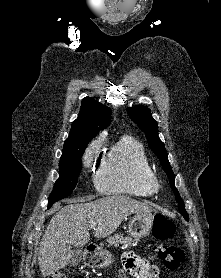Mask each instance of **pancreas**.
I'll use <instances>...</instances> for the list:
<instances>
[{
  "instance_id": "pancreas-1",
  "label": "pancreas",
  "mask_w": 221,
  "mask_h": 278,
  "mask_svg": "<svg viewBox=\"0 0 221 278\" xmlns=\"http://www.w3.org/2000/svg\"><path fill=\"white\" fill-rule=\"evenodd\" d=\"M109 245H114L118 247L120 244L123 248L136 246L138 240L136 238L132 239L130 237H124L123 235H113L112 237L107 239Z\"/></svg>"
}]
</instances>
